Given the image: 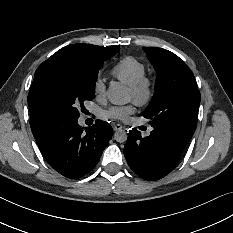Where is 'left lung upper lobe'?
<instances>
[{
  "label": "left lung upper lobe",
  "instance_id": "left-lung-upper-lobe-1",
  "mask_svg": "<svg viewBox=\"0 0 233 233\" xmlns=\"http://www.w3.org/2000/svg\"><path fill=\"white\" fill-rule=\"evenodd\" d=\"M157 72L155 94L143 116L156 129L193 132L201 96L190 68L174 53L144 47Z\"/></svg>",
  "mask_w": 233,
  "mask_h": 233
}]
</instances>
